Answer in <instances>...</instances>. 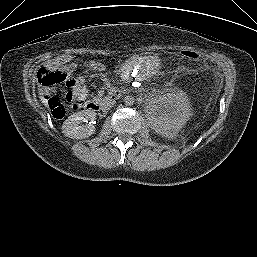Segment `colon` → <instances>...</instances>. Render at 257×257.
Segmentation results:
<instances>
[{
	"label": "colon",
	"mask_w": 257,
	"mask_h": 257,
	"mask_svg": "<svg viewBox=\"0 0 257 257\" xmlns=\"http://www.w3.org/2000/svg\"><path fill=\"white\" fill-rule=\"evenodd\" d=\"M181 55L193 62L199 61L200 52L192 49H184ZM38 82L43 88V97L47 108L54 118L61 119L65 116L68 108H80L85 99V89L81 81L69 85V89L64 95V101L58 98L51 88L61 82H64L66 76L64 72L56 67L44 66L39 69L37 74Z\"/></svg>",
	"instance_id": "colon-1"
}]
</instances>
